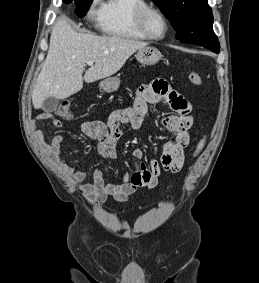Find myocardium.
Here are the masks:
<instances>
[{
	"instance_id": "f54148a6",
	"label": "myocardium",
	"mask_w": 259,
	"mask_h": 283,
	"mask_svg": "<svg viewBox=\"0 0 259 283\" xmlns=\"http://www.w3.org/2000/svg\"><path fill=\"white\" fill-rule=\"evenodd\" d=\"M151 15L159 16L165 24V32L160 37H156L152 35L149 30L148 20ZM136 21H137L138 28L145 35V37L153 41H161L165 39L170 30V21L168 17L165 15V13L160 8L155 7V6L147 5L139 9L136 14Z\"/></svg>"
}]
</instances>
